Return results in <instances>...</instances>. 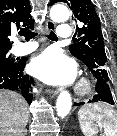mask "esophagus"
I'll return each mask as SVG.
<instances>
[{
	"instance_id": "1",
	"label": "esophagus",
	"mask_w": 117,
	"mask_h": 136,
	"mask_svg": "<svg viewBox=\"0 0 117 136\" xmlns=\"http://www.w3.org/2000/svg\"><path fill=\"white\" fill-rule=\"evenodd\" d=\"M55 28H56V25L53 21L48 20L46 22V33H49L51 31L55 30ZM46 94L50 99H53L58 94V90L48 88V89H46Z\"/></svg>"
}]
</instances>
